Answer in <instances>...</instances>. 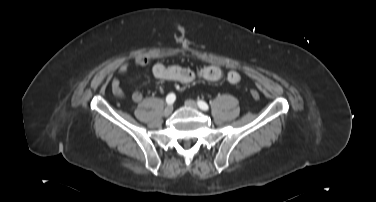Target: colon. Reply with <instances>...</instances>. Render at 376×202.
<instances>
[{
  "label": "colon",
  "mask_w": 376,
  "mask_h": 202,
  "mask_svg": "<svg viewBox=\"0 0 376 202\" xmlns=\"http://www.w3.org/2000/svg\"><path fill=\"white\" fill-rule=\"evenodd\" d=\"M250 94L254 99L259 98V93L256 90H251Z\"/></svg>",
  "instance_id": "1"
}]
</instances>
